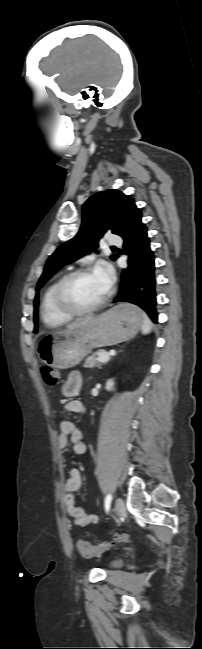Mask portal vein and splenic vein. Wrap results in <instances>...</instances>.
Returning <instances> with one entry per match:
<instances>
[{"label":"portal vein and splenic vein","mask_w":202,"mask_h":649,"mask_svg":"<svg viewBox=\"0 0 202 649\" xmlns=\"http://www.w3.org/2000/svg\"><path fill=\"white\" fill-rule=\"evenodd\" d=\"M109 355H115V352H114V351H110L108 354H106V353H101V354H99V356H98V361H99V362H102V363L107 362V361L109 360Z\"/></svg>","instance_id":"portal-vein-and-splenic-vein-1"}]
</instances>
